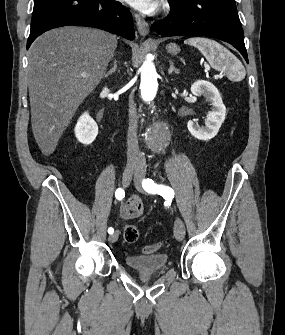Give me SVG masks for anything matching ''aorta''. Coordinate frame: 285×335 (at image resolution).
I'll use <instances>...</instances> for the list:
<instances>
[{
  "label": "aorta",
  "instance_id": "obj_1",
  "mask_svg": "<svg viewBox=\"0 0 285 335\" xmlns=\"http://www.w3.org/2000/svg\"><path fill=\"white\" fill-rule=\"evenodd\" d=\"M152 60L151 54H148L140 68L141 82L137 97H141L143 102H162V95H158V74ZM143 137H147L150 152H163L165 141L172 137V130H167L166 125H149L148 130H143Z\"/></svg>",
  "mask_w": 285,
  "mask_h": 335
}]
</instances>
